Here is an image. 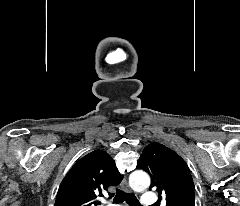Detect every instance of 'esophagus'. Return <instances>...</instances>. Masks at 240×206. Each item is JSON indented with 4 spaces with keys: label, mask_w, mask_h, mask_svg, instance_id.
<instances>
[{
    "label": "esophagus",
    "mask_w": 240,
    "mask_h": 206,
    "mask_svg": "<svg viewBox=\"0 0 240 206\" xmlns=\"http://www.w3.org/2000/svg\"><path fill=\"white\" fill-rule=\"evenodd\" d=\"M121 188H122L125 192L131 193V188L129 187L126 179H123V180H122V182H121Z\"/></svg>",
    "instance_id": "esophagus-1"
}]
</instances>
